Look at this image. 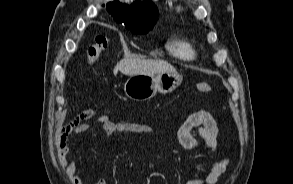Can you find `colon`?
Instances as JSON below:
<instances>
[{
	"mask_svg": "<svg viewBox=\"0 0 293 184\" xmlns=\"http://www.w3.org/2000/svg\"><path fill=\"white\" fill-rule=\"evenodd\" d=\"M109 39L105 35H98L87 49V73H91L94 64L98 61L101 54L108 48ZM195 90L200 93L212 92V87L206 82H199L195 85Z\"/></svg>",
	"mask_w": 293,
	"mask_h": 184,
	"instance_id": "1",
	"label": "colon"
}]
</instances>
